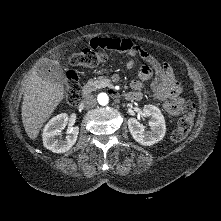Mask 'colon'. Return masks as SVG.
Returning <instances> with one entry per match:
<instances>
[{
	"mask_svg": "<svg viewBox=\"0 0 221 221\" xmlns=\"http://www.w3.org/2000/svg\"><path fill=\"white\" fill-rule=\"evenodd\" d=\"M107 59V55L104 52H97L95 49L88 48L81 52L73 53L70 56V64L73 66H87L94 67ZM82 98L79 79L76 73L68 72L66 76V91L65 99L67 104L71 106L77 105ZM195 115V105L188 101L184 104L183 115L178 120L177 127L171 134V139L175 142L183 140L193 125V119Z\"/></svg>",
	"mask_w": 221,
	"mask_h": 221,
	"instance_id": "1",
	"label": "colon"
}]
</instances>
